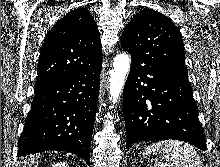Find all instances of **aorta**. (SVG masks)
Returning a JSON list of instances; mask_svg holds the SVG:
<instances>
[{
	"label": "aorta",
	"mask_w": 220,
	"mask_h": 167,
	"mask_svg": "<svg viewBox=\"0 0 220 167\" xmlns=\"http://www.w3.org/2000/svg\"><path fill=\"white\" fill-rule=\"evenodd\" d=\"M131 58L128 54L117 55L113 61V70L110 72V100L116 103L119 99L126 76L129 72Z\"/></svg>",
	"instance_id": "aorta-1"
}]
</instances>
